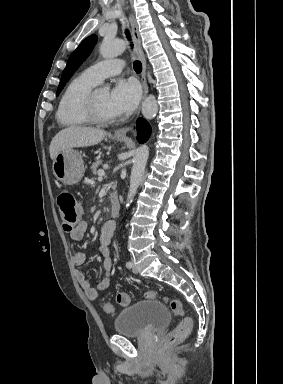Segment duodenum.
Here are the masks:
<instances>
[{
	"label": "duodenum",
	"mask_w": 283,
	"mask_h": 384,
	"mask_svg": "<svg viewBox=\"0 0 283 384\" xmlns=\"http://www.w3.org/2000/svg\"><path fill=\"white\" fill-rule=\"evenodd\" d=\"M110 199H111V210L110 214L111 216L115 217L118 215L120 211V200L116 192L112 191L109 194Z\"/></svg>",
	"instance_id": "410a0bca"
}]
</instances>
